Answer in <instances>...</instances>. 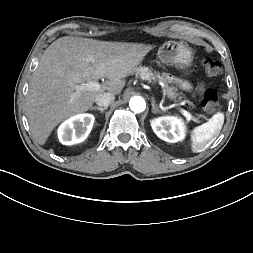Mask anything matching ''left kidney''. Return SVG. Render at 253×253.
Wrapping results in <instances>:
<instances>
[{
    "label": "left kidney",
    "mask_w": 253,
    "mask_h": 253,
    "mask_svg": "<svg viewBox=\"0 0 253 253\" xmlns=\"http://www.w3.org/2000/svg\"><path fill=\"white\" fill-rule=\"evenodd\" d=\"M154 133L162 140L175 143L183 140L185 126L181 119L174 116H162L151 121Z\"/></svg>",
    "instance_id": "obj_1"
}]
</instances>
